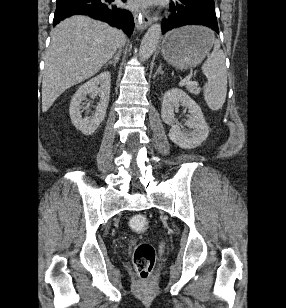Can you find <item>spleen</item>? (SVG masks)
Instances as JSON below:
<instances>
[{"label": "spleen", "instance_id": "3e777b00", "mask_svg": "<svg viewBox=\"0 0 286 308\" xmlns=\"http://www.w3.org/2000/svg\"><path fill=\"white\" fill-rule=\"evenodd\" d=\"M202 70L208 80L203 89L204 99L211 110L217 111L223 107L227 94L225 56L218 40L214 41L213 51L202 65Z\"/></svg>", "mask_w": 286, "mask_h": 308}]
</instances>
